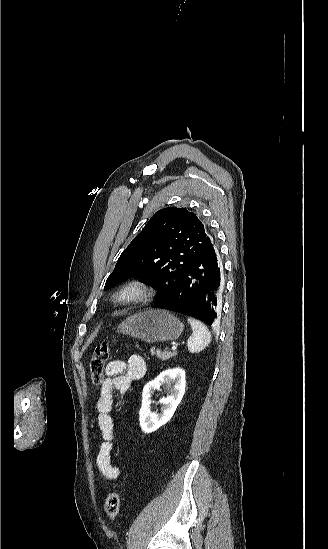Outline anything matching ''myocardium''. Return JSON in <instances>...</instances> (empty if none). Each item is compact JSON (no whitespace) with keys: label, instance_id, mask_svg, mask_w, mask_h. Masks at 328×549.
I'll return each instance as SVG.
<instances>
[{"label":"myocardium","instance_id":"myocardium-1","mask_svg":"<svg viewBox=\"0 0 328 549\" xmlns=\"http://www.w3.org/2000/svg\"><path fill=\"white\" fill-rule=\"evenodd\" d=\"M153 293L151 285L141 278H129L120 283L109 295V302L117 307H129L148 300Z\"/></svg>","mask_w":328,"mask_h":549}]
</instances>
